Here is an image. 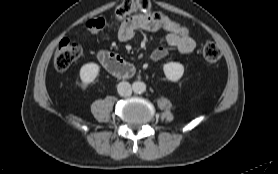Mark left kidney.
<instances>
[{"mask_svg": "<svg viewBox=\"0 0 278 174\" xmlns=\"http://www.w3.org/2000/svg\"><path fill=\"white\" fill-rule=\"evenodd\" d=\"M163 71L169 81L177 82L183 76L184 66L178 62H169L164 64Z\"/></svg>", "mask_w": 278, "mask_h": 174, "instance_id": "left-kidney-1", "label": "left kidney"}]
</instances>
